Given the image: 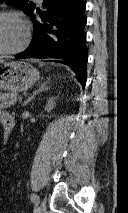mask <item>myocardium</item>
Wrapping results in <instances>:
<instances>
[{"instance_id": "1", "label": "myocardium", "mask_w": 128, "mask_h": 213, "mask_svg": "<svg viewBox=\"0 0 128 213\" xmlns=\"http://www.w3.org/2000/svg\"><path fill=\"white\" fill-rule=\"evenodd\" d=\"M2 16H12L17 18L24 27V38L20 45L13 49L0 50V55H14L22 52L27 48L31 40V28L26 17L19 11L14 9H3L0 10V17Z\"/></svg>"}]
</instances>
